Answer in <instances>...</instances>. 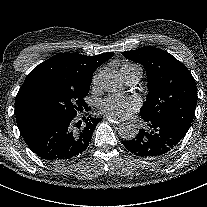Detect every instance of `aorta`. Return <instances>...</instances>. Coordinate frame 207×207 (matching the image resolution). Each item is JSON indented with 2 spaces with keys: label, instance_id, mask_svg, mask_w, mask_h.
<instances>
[{
  "label": "aorta",
  "instance_id": "762f6f07",
  "mask_svg": "<svg viewBox=\"0 0 207 207\" xmlns=\"http://www.w3.org/2000/svg\"><path fill=\"white\" fill-rule=\"evenodd\" d=\"M98 78L100 85L107 92L115 93L123 87V79L118 72L103 70ZM138 132L137 126L130 122L123 123L119 128V135L125 141L134 139Z\"/></svg>",
  "mask_w": 207,
  "mask_h": 207
}]
</instances>
